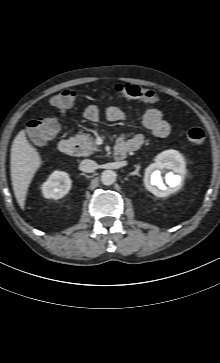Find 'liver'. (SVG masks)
Returning <instances> with one entry per match:
<instances>
[{
    "label": "liver",
    "mask_w": 220,
    "mask_h": 363,
    "mask_svg": "<svg viewBox=\"0 0 220 363\" xmlns=\"http://www.w3.org/2000/svg\"><path fill=\"white\" fill-rule=\"evenodd\" d=\"M10 158L14 195L21 209H24L29 185L43 163L38 150L27 140L25 130L14 138Z\"/></svg>",
    "instance_id": "1"
}]
</instances>
